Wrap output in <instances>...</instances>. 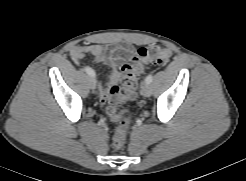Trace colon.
I'll use <instances>...</instances> for the list:
<instances>
[{"label": "colon", "instance_id": "obj_1", "mask_svg": "<svg viewBox=\"0 0 246 181\" xmlns=\"http://www.w3.org/2000/svg\"><path fill=\"white\" fill-rule=\"evenodd\" d=\"M171 57L169 48L162 45H151L140 48L137 53L122 67V85L111 86L104 98L106 112L117 122L113 134V147L122 148L130 120L119 111V107L136 98L138 80L147 65H164Z\"/></svg>", "mask_w": 246, "mask_h": 181}]
</instances>
